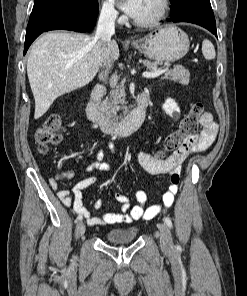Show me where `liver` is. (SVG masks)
I'll list each match as a JSON object with an SVG mask.
<instances>
[{"instance_id":"liver-1","label":"liver","mask_w":247,"mask_h":296,"mask_svg":"<svg viewBox=\"0 0 247 296\" xmlns=\"http://www.w3.org/2000/svg\"><path fill=\"white\" fill-rule=\"evenodd\" d=\"M119 58V47L112 40L109 60L95 35L51 31L32 45L27 75L35 99L34 118L39 119L55 99L90 83L99 68Z\"/></svg>"}]
</instances>
